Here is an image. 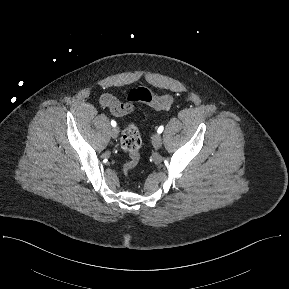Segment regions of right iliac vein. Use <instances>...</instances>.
<instances>
[{
    "mask_svg": "<svg viewBox=\"0 0 289 289\" xmlns=\"http://www.w3.org/2000/svg\"><path fill=\"white\" fill-rule=\"evenodd\" d=\"M110 134L112 138L116 139L119 135V128L118 127L112 128Z\"/></svg>",
    "mask_w": 289,
    "mask_h": 289,
    "instance_id": "63e3f726",
    "label": "right iliac vein"
}]
</instances>
